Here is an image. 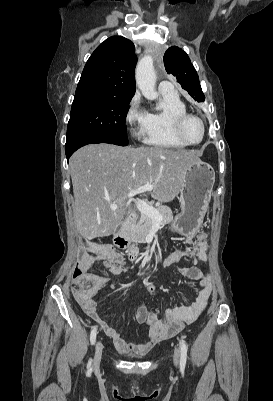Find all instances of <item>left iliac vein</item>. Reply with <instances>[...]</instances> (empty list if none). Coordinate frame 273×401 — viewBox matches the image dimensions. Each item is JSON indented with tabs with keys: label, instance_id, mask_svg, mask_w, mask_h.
Masks as SVG:
<instances>
[{
	"label": "left iliac vein",
	"instance_id": "obj_1",
	"mask_svg": "<svg viewBox=\"0 0 273 401\" xmlns=\"http://www.w3.org/2000/svg\"><path fill=\"white\" fill-rule=\"evenodd\" d=\"M179 356H180L179 349H178V348H175L174 356H173V362H174L175 365H178Z\"/></svg>",
	"mask_w": 273,
	"mask_h": 401
}]
</instances>
